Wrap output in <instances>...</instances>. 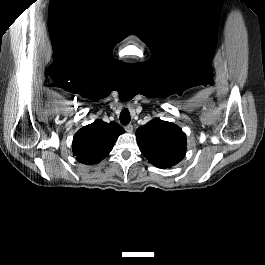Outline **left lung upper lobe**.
<instances>
[{"label":"left lung upper lobe","mask_w":265,"mask_h":265,"mask_svg":"<svg viewBox=\"0 0 265 265\" xmlns=\"http://www.w3.org/2000/svg\"><path fill=\"white\" fill-rule=\"evenodd\" d=\"M143 155L158 168L179 163L186 154V135L177 125L155 118L136 130Z\"/></svg>","instance_id":"left-lung-upper-lobe-1"}]
</instances>
